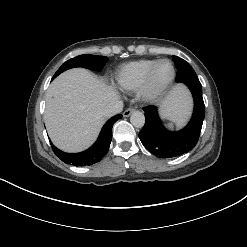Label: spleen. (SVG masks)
I'll return each instance as SVG.
<instances>
[{
  "label": "spleen",
  "instance_id": "obj_1",
  "mask_svg": "<svg viewBox=\"0 0 247 247\" xmlns=\"http://www.w3.org/2000/svg\"><path fill=\"white\" fill-rule=\"evenodd\" d=\"M166 126H167L169 129H173V128H174L173 124H171V123L167 124ZM182 126H183V123H182V122H179V123L176 124V127H177V128H181Z\"/></svg>",
  "mask_w": 247,
  "mask_h": 247
}]
</instances>
